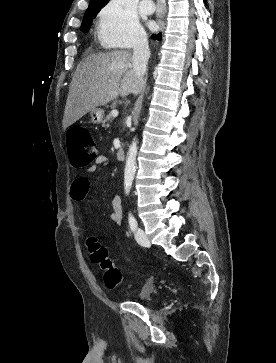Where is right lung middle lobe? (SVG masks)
I'll return each mask as SVG.
<instances>
[{
	"instance_id": "right-lung-middle-lobe-1",
	"label": "right lung middle lobe",
	"mask_w": 276,
	"mask_h": 363,
	"mask_svg": "<svg viewBox=\"0 0 276 363\" xmlns=\"http://www.w3.org/2000/svg\"><path fill=\"white\" fill-rule=\"evenodd\" d=\"M102 7H103V5H100V4L89 5L88 9L86 10V12L84 14L83 21H82V24L80 27V30L82 32H87L90 29L93 19L99 13V11Z\"/></svg>"
}]
</instances>
